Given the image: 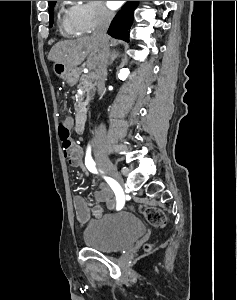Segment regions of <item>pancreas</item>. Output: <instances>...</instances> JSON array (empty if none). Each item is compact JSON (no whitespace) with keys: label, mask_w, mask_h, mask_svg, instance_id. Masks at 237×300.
Here are the masks:
<instances>
[{"label":"pancreas","mask_w":237,"mask_h":300,"mask_svg":"<svg viewBox=\"0 0 237 300\" xmlns=\"http://www.w3.org/2000/svg\"><path fill=\"white\" fill-rule=\"evenodd\" d=\"M94 77H91L90 73L89 75H82L80 77V83L77 85V89H82V91H85L87 93V101L83 103L82 97H77V103H75V111H78V113H87V103H89L92 93L94 91Z\"/></svg>","instance_id":"1"}]
</instances>
